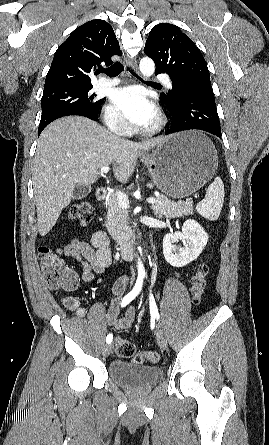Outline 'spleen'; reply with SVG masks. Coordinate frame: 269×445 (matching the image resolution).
Instances as JSON below:
<instances>
[{
    "label": "spleen",
    "mask_w": 269,
    "mask_h": 445,
    "mask_svg": "<svg viewBox=\"0 0 269 445\" xmlns=\"http://www.w3.org/2000/svg\"><path fill=\"white\" fill-rule=\"evenodd\" d=\"M224 202V184L216 177L209 185L205 198L196 206L197 212L204 218L216 221L220 216Z\"/></svg>",
    "instance_id": "3e777b00"
}]
</instances>
